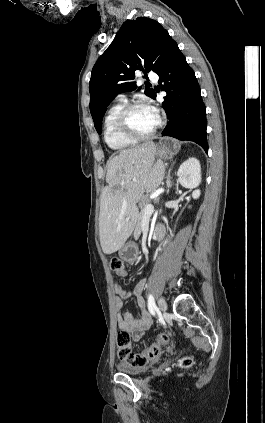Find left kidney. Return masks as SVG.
Returning <instances> with one entry per match:
<instances>
[{
    "label": "left kidney",
    "instance_id": "obj_1",
    "mask_svg": "<svg viewBox=\"0 0 265 423\" xmlns=\"http://www.w3.org/2000/svg\"><path fill=\"white\" fill-rule=\"evenodd\" d=\"M178 182L188 189H195L201 183V166L198 159L191 157L184 161L177 172ZM200 190L195 189L192 192L193 199L200 197Z\"/></svg>",
    "mask_w": 265,
    "mask_h": 423
}]
</instances>
